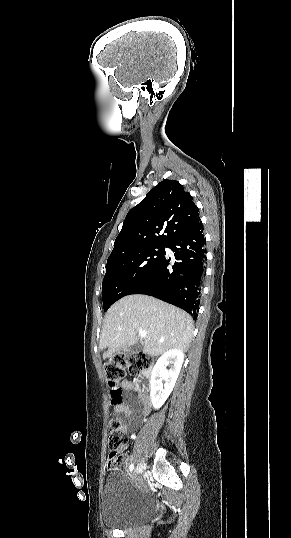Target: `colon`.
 <instances>
[{
    "instance_id": "obj_1",
    "label": "colon",
    "mask_w": 291,
    "mask_h": 538,
    "mask_svg": "<svg viewBox=\"0 0 291 538\" xmlns=\"http://www.w3.org/2000/svg\"><path fill=\"white\" fill-rule=\"evenodd\" d=\"M148 364H152L149 355L143 352H135L128 356L122 353H115L110 356L105 364V374L109 385L111 401L116 405L122 397V381L127 373L133 376L147 374ZM127 428L119 420H113L109 424L108 447L110 450L107 461V468L115 470L118 468V451L126 441Z\"/></svg>"
}]
</instances>
